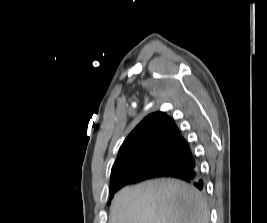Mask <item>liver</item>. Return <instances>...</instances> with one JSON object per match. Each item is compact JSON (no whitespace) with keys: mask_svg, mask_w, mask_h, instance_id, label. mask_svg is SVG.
<instances>
[{"mask_svg":"<svg viewBox=\"0 0 267 223\" xmlns=\"http://www.w3.org/2000/svg\"><path fill=\"white\" fill-rule=\"evenodd\" d=\"M109 223H209V211L194 187L155 179L120 190L112 201Z\"/></svg>","mask_w":267,"mask_h":223,"instance_id":"1","label":"liver"}]
</instances>
